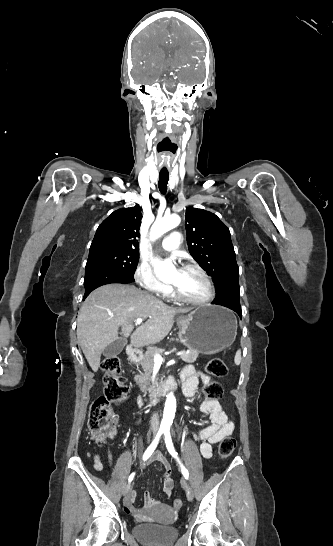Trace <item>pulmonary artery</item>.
I'll return each mask as SVG.
<instances>
[{
  "label": "pulmonary artery",
  "instance_id": "pulmonary-artery-1",
  "mask_svg": "<svg viewBox=\"0 0 333 546\" xmlns=\"http://www.w3.org/2000/svg\"><path fill=\"white\" fill-rule=\"evenodd\" d=\"M182 241L181 233L174 231L166 236L161 242V248L164 251H174L178 249Z\"/></svg>",
  "mask_w": 333,
  "mask_h": 546
}]
</instances>
